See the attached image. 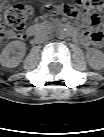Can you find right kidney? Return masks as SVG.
<instances>
[{
	"mask_svg": "<svg viewBox=\"0 0 104 137\" xmlns=\"http://www.w3.org/2000/svg\"><path fill=\"white\" fill-rule=\"evenodd\" d=\"M26 52L25 43L22 41H11L0 54V63L2 66L14 68L19 65Z\"/></svg>",
	"mask_w": 104,
	"mask_h": 137,
	"instance_id": "ca27d5eb",
	"label": "right kidney"
}]
</instances>
